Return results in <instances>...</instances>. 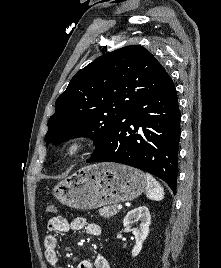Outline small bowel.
Instances as JSON below:
<instances>
[{
	"label": "small bowel",
	"mask_w": 221,
	"mask_h": 268,
	"mask_svg": "<svg viewBox=\"0 0 221 268\" xmlns=\"http://www.w3.org/2000/svg\"><path fill=\"white\" fill-rule=\"evenodd\" d=\"M49 234L44 239L45 258L51 268H63L59 262L57 248L58 238L56 233L85 230L89 235L99 236L101 228L96 223H89L83 217H76L71 221L61 216L52 217L48 220ZM77 268H111L108 260L103 255L96 257L94 263L82 261Z\"/></svg>",
	"instance_id": "c3829d8e"
}]
</instances>
